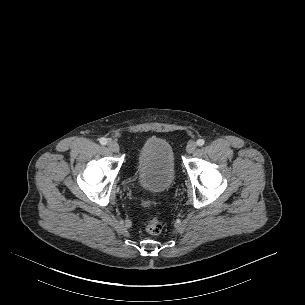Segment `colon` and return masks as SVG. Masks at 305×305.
I'll use <instances>...</instances> for the list:
<instances>
[{"instance_id": "5ec220e1", "label": "colon", "mask_w": 305, "mask_h": 305, "mask_svg": "<svg viewBox=\"0 0 305 305\" xmlns=\"http://www.w3.org/2000/svg\"><path fill=\"white\" fill-rule=\"evenodd\" d=\"M146 230L149 234L156 235L162 230V224L158 217H151L146 223Z\"/></svg>"}]
</instances>
